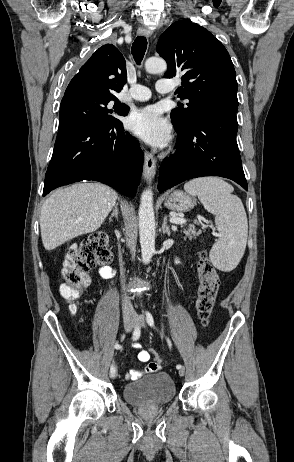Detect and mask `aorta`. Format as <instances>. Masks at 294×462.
I'll list each match as a JSON object with an SVG mask.
<instances>
[{"label": "aorta", "instance_id": "1", "mask_svg": "<svg viewBox=\"0 0 294 462\" xmlns=\"http://www.w3.org/2000/svg\"><path fill=\"white\" fill-rule=\"evenodd\" d=\"M148 73H162L166 71L167 64L162 58L151 57L145 62ZM139 235L142 261L148 264L155 252V214L153 208V193L146 189L142 195L139 206Z\"/></svg>", "mask_w": 294, "mask_h": 462}]
</instances>
